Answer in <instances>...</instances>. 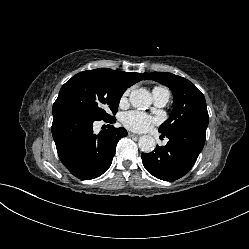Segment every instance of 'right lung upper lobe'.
Wrapping results in <instances>:
<instances>
[{
	"label": "right lung upper lobe",
	"mask_w": 249,
	"mask_h": 249,
	"mask_svg": "<svg viewBox=\"0 0 249 249\" xmlns=\"http://www.w3.org/2000/svg\"><path fill=\"white\" fill-rule=\"evenodd\" d=\"M97 70L110 76L125 90L128 87L132 86L133 84L142 80L144 76L146 75V73L123 72V71H116L112 69H97Z\"/></svg>",
	"instance_id": "cb5924a9"
}]
</instances>
